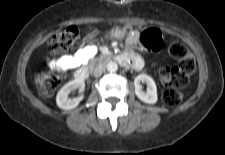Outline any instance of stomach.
Instances as JSON below:
<instances>
[{
    "label": "stomach",
    "instance_id": "0dacf381",
    "mask_svg": "<svg viewBox=\"0 0 225 155\" xmlns=\"http://www.w3.org/2000/svg\"><path fill=\"white\" fill-rule=\"evenodd\" d=\"M124 32L119 28H113L111 30V36L117 39H121L124 37Z\"/></svg>",
    "mask_w": 225,
    "mask_h": 155
}]
</instances>
